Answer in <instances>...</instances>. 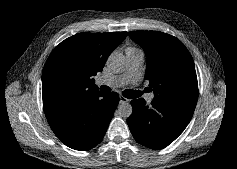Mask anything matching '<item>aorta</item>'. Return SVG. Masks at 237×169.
Returning <instances> with one entry per match:
<instances>
[{
  "instance_id": "obj_1",
  "label": "aorta",
  "mask_w": 237,
  "mask_h": 169,
  "mask_svg": "<svg viewBox=\"0 0 237 169\" xmlns=\"http://www.w3.org/2000/svg\"><path fill=\"white\" fill-rule=\"evenodd\" d=\"M107 65L113 73H122L126 70L127 60L121 53H113L108 57ZM133 108L130 103L122 101L119 103L116 113L121 118H128L131 116Z\"/></svg>"
}]
</instances>
